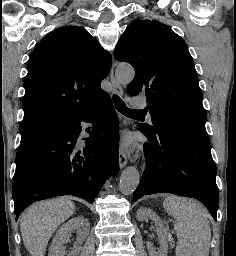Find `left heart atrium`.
Segmentation results:
<instances>
[{"label": "left heart atrium", "mask_w": 236, "mask_h": 256, "mask_svg": "<svg viewBox=\"0 0 236 256\" xmlns=\"http://www.w3.org/2000/svg\"><path fill=\"white\" fill-rule=\"evenodd\" d=\"M128 144H129V139L126 138L125 141H124V145H125V146H128Z\"/></svg>", "instance_id": "1"}]
</instances>
